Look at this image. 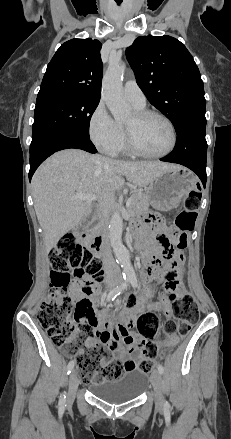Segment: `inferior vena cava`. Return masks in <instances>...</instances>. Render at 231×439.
I'll return each instance as SVG.
<instances>
[{
    "instance_id": "obj_1",
    "label": "inferior vena cava",
    "mask_w": 231,
    "mask_h": 439,
    "mask_svg": "<svg viewBox=\"0 0 231 439\" xmlns=\"http://www.w3.org/2000/svg\"><path fill=\"white\" fill-rule=\"evenodd\" d=\"M103 209L102 204H99V212ZM103 261L107 268V276L118 275L117 266L111 254L108 242H104L102 246Z\"/></svg>"
}]
</instances>
